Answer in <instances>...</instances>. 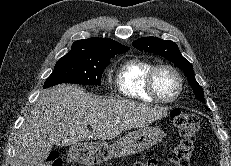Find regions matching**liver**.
<instances>
[{"mask_svg": "<svg viewBox=\"0 0 231 166\" xmlns=\"http://www.w3.org/2000/svg\"><path fill=\"white\" fill-rule=\"evenodd\" d=\"M166 107L92 97L77 85L45 90L15 142L16 166H44L53 145L113 139L167 116ZM88 125L93 128L89 131Z\"/></svg>", "mask_w": 231, "mask_h": 166, "instance_id": "6515ba94", "label": "liver"}]
</instances>
